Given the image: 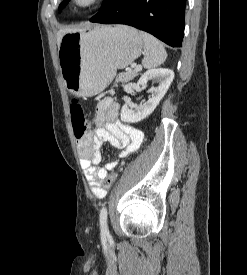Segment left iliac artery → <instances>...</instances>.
Listing matches in <instances>:
<instances>
[{
    "mask_svg": "<svg viewBox=\"0 0 247 275\" xmlns=\"http://www.w3.org/2000/svg\"><path fill=\"white\" fill-rule=\"evenodd\" d=\"M100 228L103 235H108V226H107V209L103 207L100 211Z\"/></svg>",
    "mask_w": 247,
    "mask_h": 275,
    "instance_id": "1",
    "label": "left iliac artery"
}]
</instances>
